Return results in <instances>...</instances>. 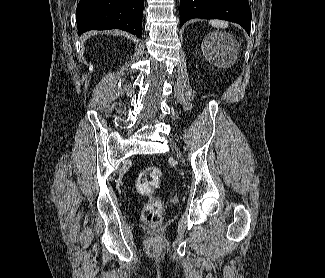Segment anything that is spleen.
<instances>
[{
	"instance_id": "spleen-1",
	"label": "spleen",
	"mask_w": 325,
	"mask_h": 278,
	"mask_svg": "<svg viewBox=\"0 0 325 278\" xmlns=\"http://www.w3.org/2000/svg\"><path fill=\"white\" fill-rule=\"evenodd\" d=\"M212 26L217 27V28H226L228 26V23L225 21H220V20H211L209 22Z\"/></svg>"
}]
</instances>
